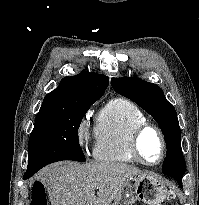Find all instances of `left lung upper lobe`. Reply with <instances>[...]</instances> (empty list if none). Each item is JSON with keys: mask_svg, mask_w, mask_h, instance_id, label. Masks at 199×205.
Segmentation results:
<instances>
[{"mask_svg": "<svg viewBox=\"0 0 199 205\" xmlns=\"http://www.w3.org/2000/svg\"><path fill=\"white\" fill-rule=\"evenodd\" d=\"M111 85L117 93L135 102L157 121L167 145L162 172L182 185L185 160L181 148V131L176 110L166 100L162 89L154 83L130 77L112 78Z\"/></svg>", "mask_w": 199, "mask_h": 205, "instance_id": "obj_1", "label": "left lung upper lobe"}]
</instances>
